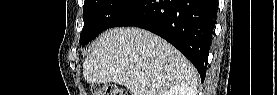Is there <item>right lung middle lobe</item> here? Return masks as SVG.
I'll return each instance as SVG.
<instances>
[{"mask_svg": "<svg viewBox=\"0 0 277 95\" xmlns=\"http://www.w3.org/2000/svg\"><path fill=\"white\" fill-rule=\"evenodd\" d=\"M143 0H85L84 28L80 43L84 46L104 30L115 27Z\"/></svg>", "mask_w": 277, "mask_h": 95, "instance_id": "dd1d6c3e", "label": "right lung middle lobe"}]
</instances>
